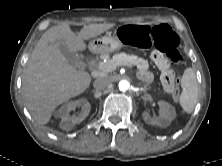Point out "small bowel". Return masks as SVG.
Listing matches in <instances>:
<instances>
[{
	"mask_svg": "<svg viewBox=\"0 0 222 166\" xmlns=\"http://www.w3.org/2000/svg\"><path fill=\"white\" fill-rule=\"evenodd\" d=\"M151 58L153 60V62L161 69V70H164L165 66H166V60L163 56L162 53L160 52H154L152 55H151ZM139 77L142 79V80H145V81H149L151 79V74L147 71H141L139 73ZM167 90V89H166ZM168 91V90H167Z\"/></svg>",
	"mask_w": 222,
	"mask_h": 166,
	"instance_id": "1",
	"label": "small bowel"
}]
</instances>
